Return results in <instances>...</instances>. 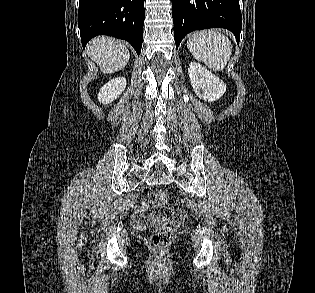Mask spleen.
Wrapping results in <instances>:
<instances>
[{
  "instance_id": "3e777b00",
  "label": "spleen",
  "mask_w": 315,
  "mask_h": 293,
  "mask_svg": "<svg viewBox=\"0 0 315 293\" xmlns=\"http://www.w3.org/2000/svg\"><path fill=\"white\" fill-rule=\"evenodd\" d=\"M187 47L196 60L215 72L226 66L232 53L228 37L214 29L193 33L188 38Z\"/></svg>"
}]
</instances>
